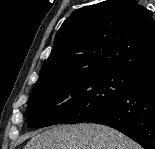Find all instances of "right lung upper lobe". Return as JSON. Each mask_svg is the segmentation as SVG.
I'll list each match as a JSON object with an SVG mask.
<instances>
[{
  "label": "right lung upper lobe",
  "mask_w": 155,
  "mask_h": 149,
  "mask_svg": "<svg viewBox=\"0 0 155 149\" xmlns=\"http://www.w3.org/2000/svg\"><path fill=\"white\" fill-rule=\"evenodd\" d=\"M89 71H155V21L137 1L107 0L70 15L37 82Z\"/></svg>",
  "instance_id": "obj_1"
}]
</instances>
